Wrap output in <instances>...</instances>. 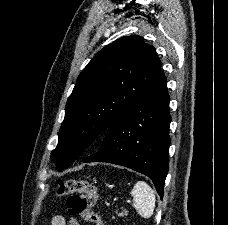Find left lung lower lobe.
<instances>
[{"instance_id": "left-lung-lower-lobe-1", "label": "left lung lower lobe", "mask_w": 228, "mask_h": 225, "mask_svg": "<svg viewBox=\"0 0 228 225\" xmlns=\"http://www.w3.org/2000/svg\"><path fill=\"white\" fill-rule=\"evenodd\" d=\"M170 97L166 77L153 86L107 129L98 152L84 162H106L148 176L161 199L168 173Z\"/></svg>"}]
</instances>
